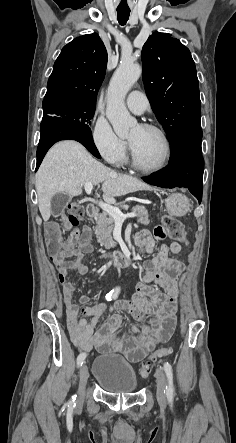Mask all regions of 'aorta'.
<instances>
[{"mask_svg":"<svg viewBox=\"0 0 236 443\" xmlns=\"http://www.w3.org/2000/svg\"><path fill=\"white\" fill-rule=\"evenodd\" d=\"M141 72L138 64L122 62L115 70L108 87L106 116L120 138H126L137 125V120L125 106V97Z\"/></svg>","mask_w":236,"mask_h":443,"instance_id":"obj_1","label":"aorta"}]
</instances>
